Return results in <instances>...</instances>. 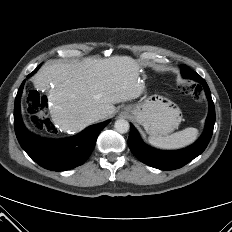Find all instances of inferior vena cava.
Listing matches in <instances>:
<instances>
[{
	"instance_id": "602c4592",
	"label": "inferior vena cava",
	"mask_w": 232,
	"mask_h": 232,
	"mask_svg": "<svg viewBox=\"0 0 232 232\" xmlns=\"http://www.w3.org/2000/svg\"><path fill=\"white\" fill-rule=\"evenodd\" d=\"M103 117H104V114H103V113H101V112H96V113H93V114L91 115V120H92L93 122H95V121H98V120L102 119Z\"/></svg>"
}]
</instances>
